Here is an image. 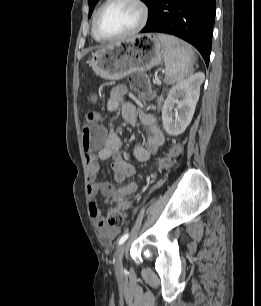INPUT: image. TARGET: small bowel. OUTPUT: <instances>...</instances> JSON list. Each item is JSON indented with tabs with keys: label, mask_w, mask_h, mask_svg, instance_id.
<instances>
[{
	"label": "small bowel",
	"mask_w": 261,
	"mask_h": 306,
	"mask_svg": "<svg viewBox=\"0 0 261 306\" xmlns=\"http://www.w3.org/2000/svg\"><path fill=\"white\" fill-rule=\"evenodd\" d=\"M127 89L124 86H118L111 90L107 98L106 107L108 111H115L121 108L122 118L131 125L141 124L147 132V141L145 145H135L133 147V156L139 162L147 161L152 154H155L163 145L165 137L159 128L155 118L147 112H139L134 103L124 101ZM121 137L111 129L104 142V146L97 153L86 155V164L88 171V195H89V213L94 222L98 233L105 239H114L119 230L110 226L102 216L98 205V195H103L107 200L116 202L122 198L134 194L138 189V184L134 181L129 182L119 188H116L109 181H99L97 175L100 169V161L113 160L112 171L114 180L123 183L127 178L136 173L133 165L124 160L120 153Z\"/></svg>",
	"instance_id": "small-bowel-1"
}]
</instances>
